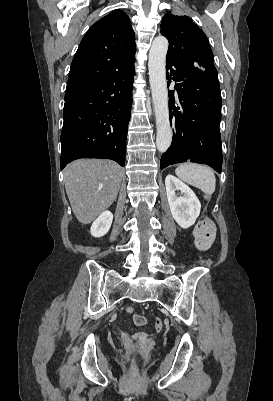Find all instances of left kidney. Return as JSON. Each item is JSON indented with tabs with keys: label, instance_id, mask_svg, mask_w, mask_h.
Masks as SVG:
<instances>
[{
	"label": "left kidney",
	"instance_id": "obj_1",
	"mask_svg": "<svg viewBox=\"0 0 273 401\" xmlns=\"http://www.w3.org/2000/svg\"><path fill=\"white\" fill-rule=\"evenodd\" d=\"M165 186L173 219H175L179 227L188 229V227L194 225L200 215V201H198L195 192L173 174H167ZM175 190L183 192V196H177Z\"/></svg>",
	"mask_w": 273,
	"mask_h": 401
}]
</instances>
